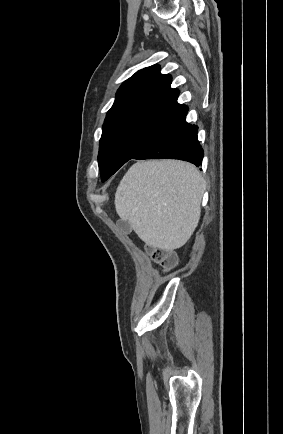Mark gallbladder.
Masks as SVG:
<instances>
[{"label":"gallbladder","mask_w":283,"mask_h":434,"mask_svg":"<svg viewBox=\"0 0 283 434\" xmlns=\"http://www.w3.org/2000/svg\"><path fill=\"white\" fill-rule=\"evenodd\" d=\"M118 226L126 233H130L132 231V228L128 221L120 220L118 222Z\"/></svg>","instance_id":"1"}]
</instances>
